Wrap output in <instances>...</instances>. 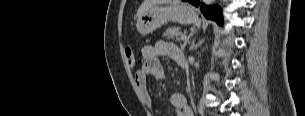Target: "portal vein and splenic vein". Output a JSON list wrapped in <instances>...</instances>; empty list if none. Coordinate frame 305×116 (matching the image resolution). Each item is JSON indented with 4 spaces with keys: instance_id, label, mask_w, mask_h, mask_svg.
<instances>
[{
    "instance_id": "obj_1",
    "label": "portal vein and splenic vein",
    "mask_w": 305,
    "mask_h": 116,
    "mask_svg": "<svg viewBox=\"0 0 305 116\" xmlns=\"http://www.w3.org/2000/svg\"><path fill=\"white\" fill-rule=\"evenodd\" d=\"M180 39L185 42L188 40V38L186 36H182Z\"/></svg>"
}]
</instances>
